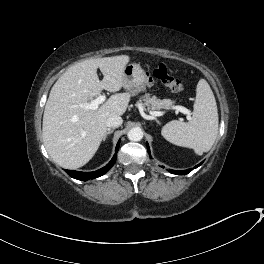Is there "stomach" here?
<instances>
[{"instance_id":"1","label":"stomach","mask_w":264,"mask_h":264,"mask_svg":"<svg viewBox=\"0 0 264 264\" xmlns=\"http://www.w3.org/2000/svg\"><path fill=\"white\" fill-rule=\"evenodd\" d=\"M147 82L145 70L137 63L125 66L123 70V87L132 93L139 92L140 88Z\"/></svg>"}]
</instances>
